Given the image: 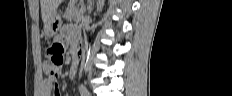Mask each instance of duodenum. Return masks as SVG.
I'll return each mask as SVG.
<instances>
[{"mask_svg":"<svg viewBox=\"0 0 232 96\" xmlns=\"http://www.w3.org/2000/svg\"><path fill=\"white\" fill-rule=\"evenodd\" d=\"M80 56H81V49L77 48L74 52V60H73V64H72L73 68H76V66L78 65V61L80 59Z\"/></svg>","mask_w":232,"mask_h":96,"instance_id":"1","label":"duodenum"}]
</instances>
